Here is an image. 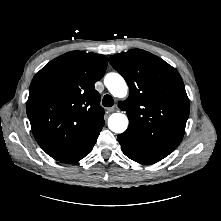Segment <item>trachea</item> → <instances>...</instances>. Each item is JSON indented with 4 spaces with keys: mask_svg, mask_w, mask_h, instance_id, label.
<instances>
[{
    "mask_svg": "<svg viewBox=\"0 0 221 221\" xmlns=\"http://www.w3.org/2000/svg\"><path fill=\"white\" fill-rule=\"evenodd\" d=\"M102 104L104 107H112L114 105V100L111 95H105L103 97Z\"/></svg>",
    "mask_w": 221,
    "mask_h": 221,
    "instance_id": "1",
    "label": "trachea"
}]
</instances>
